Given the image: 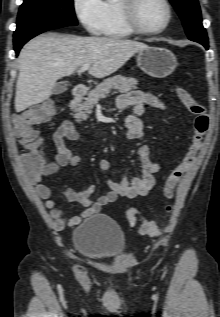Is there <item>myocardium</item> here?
Here are the masks:
<instances>
[{
	"label": "myocardium",
	"instance_id": "obj_1",
	"mask_svg": "<svg viewBox=\"0 0 220 317\" xmlns=\"http://www.w3.org/2000/svg\"><path fill=\"white\" fill-rule=\"evenodd\" d=\"M167 10V18L164 25L158 29H146L138 20V9L142 0H120V12L126 26L139 35H158L163 33L171 24L173 18V8L169 0H161Z\"/></svg>",
	"mask_w": 220,
	"mask_h": 317
}]
</instances>
